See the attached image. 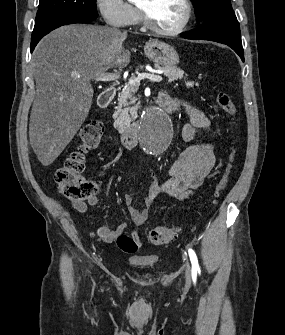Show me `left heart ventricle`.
Returning <instances> with one entry per match:
<instances>
[{"instance_id": "obj_1", "label": "left heart ventricle", "mask_w": 285, "mask_h": 335, "mask_svg": "<svg viewBox=\"0 0 285 335\" xmlns=\"http://www.w3.org/2000/svg\"><path fill=\"white\" fill-rule=\"evenodd\" d=\"M150 17L154 25L174 29L184 20L186 11L179 1H148Z\"/></svg>"}]
</instances>
